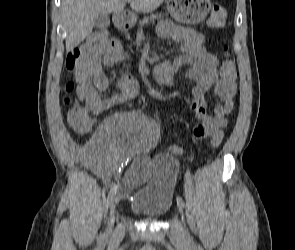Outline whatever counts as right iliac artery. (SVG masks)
<instances>
[{
    "instance_id": "obj_1",
    "label": "right iliac artery",
    "mask_w": 295,
    "mask_h": 250,
    "mask_svg": "<svg viewBox=\"0 0 295 250\" xmlns=\"http://www.w3.org/2000/svg\"><path fill=\"white\" fill-rule=\"evenodd\" d=\"M120 171V170H119ZM117 189H118V185H114L111 189H110V192L108 194V198H107V201L105 203V206H106V209L108 210V207L111 205L112 201H113V198L117 192ZM99 240H103V235H100L99 236Z\"/></svg>"
}]
</instances>
